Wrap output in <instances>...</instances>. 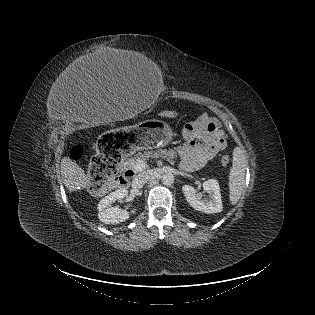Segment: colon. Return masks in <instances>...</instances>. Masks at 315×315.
<instances>
[{
	"label": "colon",
	"instance_id": "obj_1",
	"mask_svg": "<svg viewBox=\"0 0 315 315\" xmlns=\"http://www.w3.org/2000/svg\"><path fill=\"white\" fill-rule=\"evenodd\" d=\"M176 113L172 111L165 112L163 116L168 118L175 117ZM83 155V149L80 146L74 147L72 157L79 160ZM220 162L226 166L230 162V156L225 154L221 157ZM118 159L116 157H107L101 152L98 153L90 164V189L93 193L99 194L108 189L115 182L117 175Z\"/></svg>",
	"mask_w": 315,
	"mask_h": 315
}]
</instances>
